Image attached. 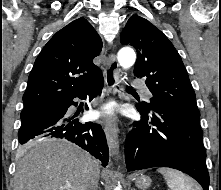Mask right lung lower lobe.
Here are the masks:
<instances>
[{"label":"right lung lower lobe","mask_w":221,"mask_h":190,"mask_svg":"<svg viewBox=\"0 0 221 190\" xmlns=\"http://www.w3.org/2000/svg\"><path fill=\"white\" fill-rule=\"evenodd\" d=\"M102 87L103 77L85 91L65 98L41 114L22 122L18 131L19 143L24 144L35 136L65 138L88 151L101 160L103 166H106L109 161V152L101 125L92 122L79 123L77 115L67 113L71 105H76L74 98L84 99L89 94L92 100L101 93Z\"/></svg>","instance_id":"98d812e1"}]
</instances>
